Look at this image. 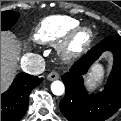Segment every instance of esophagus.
<instances>
[{"instance_id": "esophagus-1", "label": "esophagus", "mask_w": 121, "mask_h": 121, "mask_svg": "<svg viewBox=\"0 0 121 121\" xmlns=\"http://www.w3.org/2000/svg\"><path fill=\"white\" fill-rule=\"evenodd\" d=\"M47 79L50 81L59 79V74L56 71H52L48 74Z\"/></svg>"}]
</instances>
